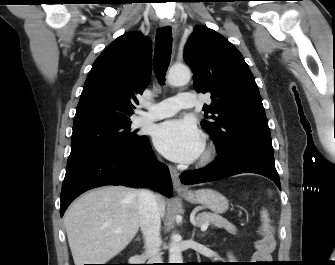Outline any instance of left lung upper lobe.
I'll return each instance as SVG.
<instances>
[{"mask_svg":"<svg viewBox=\"0 0 335 265\" xmlns=\"http://www.w3.org/2000/svg\"><path fill=\"white\" fill-rule=\"evenodd\" d=\"M197 92L210 93L201 122L218 153L237 145L273 152L268 120L254 76L242 54L225 37L203 26L194 28L184 50Z\"/></svg>","mask_w":335,"mask_h":265,"instance_id":"1","label":"left lung upper lobe"}]
</instances>
